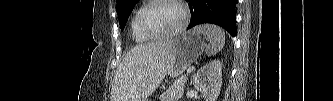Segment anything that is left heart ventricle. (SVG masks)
<instances>
[{"mask_svg":"<svg viewBox=\"0 0 333 101\" xmlns=\"http://www.w3.org/2000/svg\"><path fill=\"white\" fill-rule=\"evenodd\" d=\"M145 21L154 33H167L180 24L181 11L172 3H159L147 12Z\"/></svg>","mask_w":333,"mask_h":101,"instance_id":"obj_1","label":"left heart ventricle"}]
</instances>
